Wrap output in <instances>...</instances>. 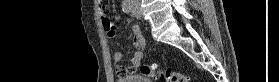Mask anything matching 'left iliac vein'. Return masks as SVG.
<instances>
[{"label":"left iliac vein","instance_id":"obj_1","mask_svg":"<svg viewBox=\"0 0 279 82\" xmlns=\"http://www.w3.org/2000/svg\"><path fill=\"white\" fill-rule=\"evenodd\" d=\"M132 15L137 19H140V17H141L140 11L137 9L132 10Z\"/></svg>","mask_w":279,"mask_h":82}]
</instances>
